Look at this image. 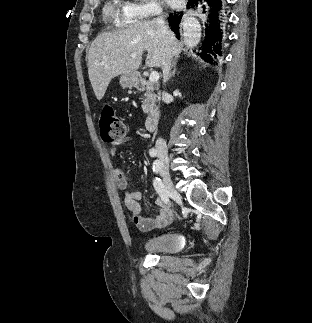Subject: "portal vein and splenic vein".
I'll use <instances>...</instances> for the list:
<instances>
[{
    "instance_id": "portal-vein-and-splenic-vein-1",
    "label": "portal vein and splenic vein",
    "mask_w": 312,
    "mask_h": 323,
    "mask_svg": "<svg viewBox=\"0 0 312 323\" xmlns=\"http://www.w3.org/2000/svg\"><path fill=\"white\" fill-rule=\"evenodd\" d=\"M131 58H136V54H131ZM149 80L150 82H158L159 80L158 72H151Z\"/></svg>"
}]
</instances>
